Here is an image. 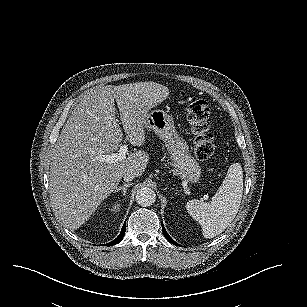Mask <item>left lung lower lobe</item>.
<instances>
[{
    "mask_svg": "<svg viewBox=\"0 0 307 307\" xmlns=\"http://www.w3.org/2000/svg\"><path fill=\"white\" fill-rule=\"evenodd\" d=\"M162 231H163L164 236H165L171 243H173V244L176 245V246H179V244H177V243L169 236V234L166 232V230H165V228H164V225H163V222H162Z\"/></svg>",
    "mask_w": 307,
    "mask_h": 307,
    "instance_id": "obj_1",
    "label": "left lung lower lobe"
}]
</instances>
